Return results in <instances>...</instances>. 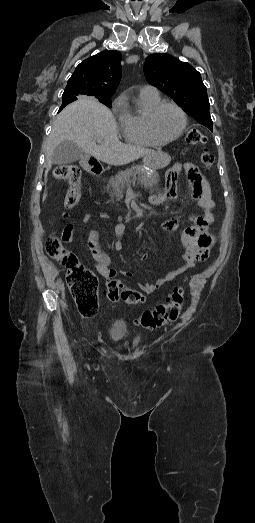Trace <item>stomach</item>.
<instances>
[{"label":"stomach","instance_id":"stomach-1","mask_svg":"<svg viewBox=\"0 0 255 523\" xmlns=\"http://www.w3.org/2000/svg\"><path fill=\"white\" fill-rule=\"evenodd\" d=\"M171 159V154L168 151H158L152 156H147L144 160V166L151 168V170H161L165 168Z\"/></svg>","mask_w":255,"mask_h":523}]
</instances>
